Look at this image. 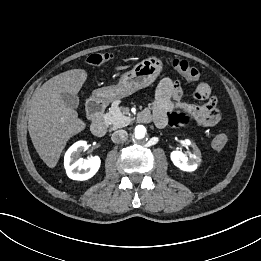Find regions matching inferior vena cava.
Listing matches in <instances>:
<instances>
[{
  "label": "inferior vena cava",
  "instance_id": "obj_1",
  "mask_svg": "<svg viewBox=\"0 0 261 261\" xmlns=\"http://www.w3.org/2000/svg\"><path fill=\"white\" fill-rule=\"evenodd\" d=\"M127 132L125 130H117L113 132L111 139L114 143H123L127 139Z\"/></svg>",
  "mask_w": 261,
  "mask_h": 261
}]
</instances>
